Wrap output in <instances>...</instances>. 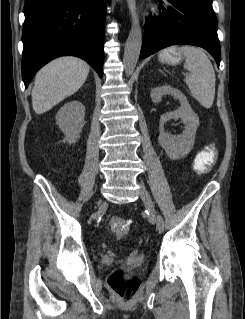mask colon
Returning <instances> with one entry per match:
<instances>
[{
    "mask_svg": "<svg viewBox=\"0 0 245 319\" xmlns=\"http://www.w3.org/2000/svg\"><path fill=\"white\" fill-rule=\"evenodd\" d=\"M217 158V148L209 145L195 158L193 169L197 175H203L210 171ZM110 227L118 237L125 236L130 230L129 222L124 218H112ZM108 285L124 302L131 300L137 293L140 282L137 278H124L122 269L114 270L108 277Z\"/></svg>",
    "mask_w": 245,
    "mask_h": 319,
    "instance_id": "obj_1",
    "label": "colon"
}]
</instances>
